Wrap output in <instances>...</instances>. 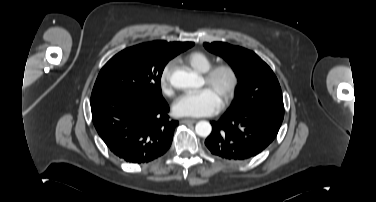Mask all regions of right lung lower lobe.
Here are the masks:
<instances>
[{
    "instance_id": "right-lung-lower-lobe-1",
    "label": "right lung lower lobe",
    "mask_w": 376,
    "mask_h": 202,
    "mask_svg": "<svg viewBox=\"0 0 376 202\" xmlns=\"http://www.w3.org/2000/svg\"><path fill=\"white\" fill-rule=\"evenodd\" d=\"M94 126L108 148L130 163H145L170 147L178 121L161 98L109 93L91 99Z\"/></svg>"
}]
</instances>
